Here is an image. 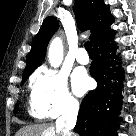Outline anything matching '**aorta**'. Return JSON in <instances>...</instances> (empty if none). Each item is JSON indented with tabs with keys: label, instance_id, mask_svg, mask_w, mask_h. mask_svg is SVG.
<instances>
[{
	"label": "aorta",
	"instance_id": "aorta-1",
	"mask_svg": "<svg viewBox=\"0 0 136 136\" xmlns=\"http://www.w3.org/2000/svg\"><path fill=\"white\" fill-rule=\"evenodd\" d=\"M48 59L52 67L57 68L63 61V44L60 38H54L48 49Z\"/></svg>",
	"mask_w": 136,
	"mask_h": 136
}]
</instances>
